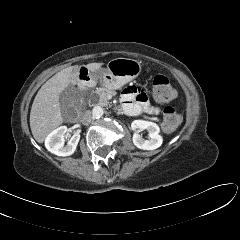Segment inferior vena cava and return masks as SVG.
Listing matches in <instances>:
<instances>
[{
  "mask_svg": "<svg viewBox=\"0 0 240 240\" xmlns=\"http://www.w3.org/2000/svg\"><path fill=\"white\" fill-rule=\"evenodd\" d=\"M92 119H93V116H92L91 112H90V111H86V112L84 113L83 117H82L81 122H82L84 125H88V124L91 123Z\"/></svg>",
  "mask_w": 240,
  "mask_h": 240,
  "instance_id": "inferior-vena-cava-1",
  "label": "inferior vena cava"
}]
</instances>
